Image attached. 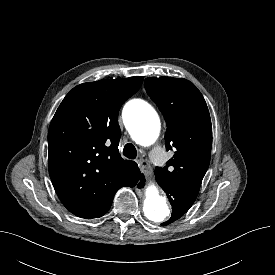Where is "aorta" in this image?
Segmentation results:
<instances>
[{
	"instance_id": "obj_1",
	"label": "aorta",
	"mask_w": 275,
	"mask_h": 275,
	"mask_svg": "<svg viewBox=\"0 0 275 275\" xmlns=\"http://www.w3.org/2000/svg\"><path fill=\"white\" fill-rule=\"evenodd\" d=\"M123 120L137 144L149 146L157 140L161 128L160 118L147 102L139 99L128 102L123 109ZM143 211L145 217L156 225L164 223L171 215L166 198L154 185L145 190Z\"/></svg>"
}]
</instances>
